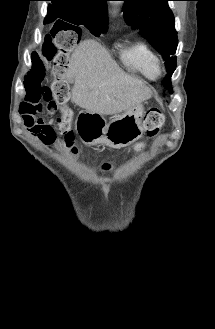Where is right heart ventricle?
<instances>
[{"mask_svg":"<svg viewBox=\"0 0 215 329\" xmlns=\"http://www.w3.org/2000/svg\"><path fill=\"white\" fill-rule=\"evenodd\" d=\"M120 61L130 72L156 80L161 73V62L155 50L144 40L137 39L120 52Z\"/></svg>","mask_w":215,"mask_h":329,"instance_id":"right-heart-ventricle-1","label":"right heart ventricle"}]
</instances>
